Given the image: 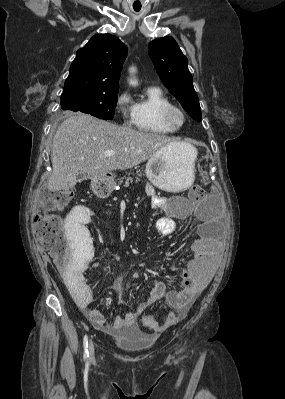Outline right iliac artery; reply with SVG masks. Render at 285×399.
<instances>
[{"label": "right iliac artery", "mask_w": 285, "mask_h": 399, "mask_svg": "<svg viewBox=\"0 0 285 399\" xmlns=\"http://www.w3.org/2000/svg\"><path fill=\"white\" fill-rule=\"evenodd\" d=\"M83 346H84V354H83V357H84L85 360H87L88 357H89V351H88V336H87V334H86V335L84 336V338H83Z\"/></svg>", "instance_id": "1"}]
</instances>
